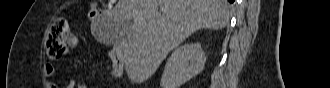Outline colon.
Here are the masks:
<instances>
[{"label":"colon","mask_w":330,"mask_h":88,"mask_svg":"<svg viewBox=\"0 0 330 88\" xmlns=\"http://www.w3.org/2000/svg\"><path fill=\"white\" fill-rule=\"evenodd\" d=\"M99 12L96 4H92L87 12L90 20H93ZM75 39L68 21L66 19H58L53 25L47 39L48 55L52 58L61 57L67 46ZM115 52L110 54L112 67L109 71L110 77H115L122 67L121 53L117 47H113Z\"/></svg>","instance_id":"colon-1"}]
</instances>
